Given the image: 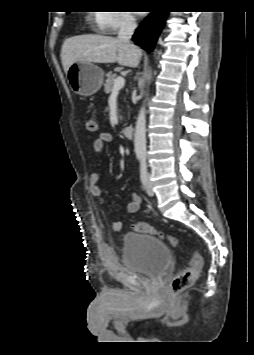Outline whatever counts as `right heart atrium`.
Listing matches in <instances>:
<instances>
[{"mask_svg":"<svg viewBox=\"0 0 254 355\" xmlns=\"http://www.w3.org/2000/svg\"><path fill=\"white\" fill-rule=\"evenodd\" d=\"M92 22L99 32L109 34L117 33L121 29L131 28L135 25L132 14L124 10L98 11L94 14Z\"/></svg>","mask_w":254,"mask_h":355,"instance_id":"d8ad5b80","label":"right heart atrium"}]
</instances>
